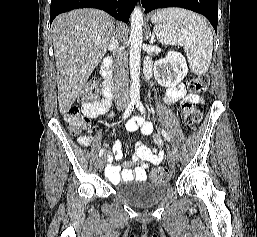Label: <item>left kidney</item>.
<instances>
[{
	"label": "left kidney",
	"mask_w": 257,
	"mask_h": 237,
	"mask_svg": "<svg viewBox=\"0 0 257 237\" xmlns=\"http://www.w3.org/2000/svg\"><path fill=\"white\" fill-rule=\"evenodd\" d=\"M153 71L158 84L164 87H174L185 78L188 66L181 53L168 51L165 58L154 63Z\"/></svg>",
	"instance_id": "5707ae66"
}]
</instances>
